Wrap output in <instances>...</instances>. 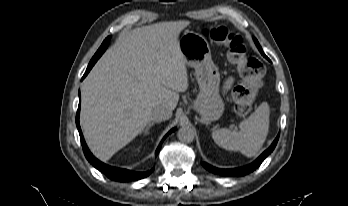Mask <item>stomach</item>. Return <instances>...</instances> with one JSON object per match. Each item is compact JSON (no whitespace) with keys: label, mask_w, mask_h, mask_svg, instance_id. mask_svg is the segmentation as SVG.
Here are the masks:
<instances>
[{"label":"stomach","mask_w":348,"mask_h":206,"mask_svg":"<svg viewBox=\"0 0 348 206\" xmlns=\"http://www.w3.org/2000/svg\"><path fill=\"white\" fill-rule=\"evenodd\" d=\"M186 65L195 69L199 94L194 109L205 124L216 121L221 116L224 104L219 95L220 74L211 58L208 42L199 34L184 33L178 40Z\"/></svg>","instance_id":"1"}]
</instances>
